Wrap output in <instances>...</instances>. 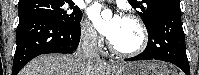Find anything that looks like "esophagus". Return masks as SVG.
I'll list each match as a JSON object with an SVG mask.
<instances>
[{
    "mask_svg": "<svg viewBox=\"0 0 199 75\" xmlns=\"http://www.w3.org/2000/svg\"><path fill=\"white\" fill-rule=\"evenodd\" d=\"M108 64H109L110 66H114V65H115V62H114L113 59H109Z\"/></svg>",
    "mask_w": 199,
    "mask_h": 75,
    "instance_id": "obj_1",
    "label": "esophagus"
}]
</instances>
